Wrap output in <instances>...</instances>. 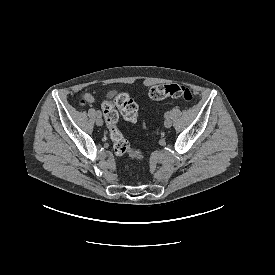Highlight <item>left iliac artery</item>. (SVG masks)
<instances>
[{
	"label": "left iliac artery",
	"instance_id": "left-iliac-artery-1",
	"mask_svg": "<svg viewBox=\"0 0 275 275\" xmlns=\"http://www.w3.org/2000/svg\"><path fill=\"white\" fill-rule=\"evenodd\" d=\"M164 117H165V118L170 117V112H166V113L164 114Z\"/></svg>",
	"mask_w": 275,
	"mask_h": 275
}]
</instances>
